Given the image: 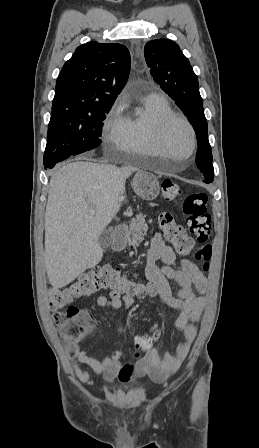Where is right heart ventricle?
<instances>
[{
	"label": "right heart ventricle",
	"mask_w": 259,
	"mask_h": 448,
	"mask_svg": "<svg viewBox=\"0 0 259 448\" xmlns=\"http://www.w3.org/2000/svg\"><path fill=\"white\" fill-rule=\"evenodd\" d=\"M138 102L140 108L137 110L122 104L117 114L125 136L126 154L122 157V163H140L139 157L143 152L157 149V122L161 117L174 112L166 96L157 89L142 93Z\"/></svg>",
	"instance_id": "1"
}]
</instances>
